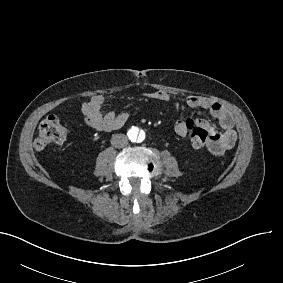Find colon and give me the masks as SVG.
<instances>
[{"label": "colon", "instance_id": "obj_1", "mask_svg": "<svg viewBox=\"0 0 283 283\" xmlns=\"http://www.w3.org/2000/svg\"><path fill=\"white\" fill-rule=\"evenodd\" d=\"M184 125L190 129L189 135L193 141L192 146L195 149L200 148L201 144L209 141L213 135V132H210L206 128L194 127L191 118H186ZM67 136L68 129L63 124L61 118L57 115H51L43 119L40 123L34 143L37 148H44L52 144L64 142Z\"/></svg>", "mask_w": 283, "mask_h": 283}]
</instances>
